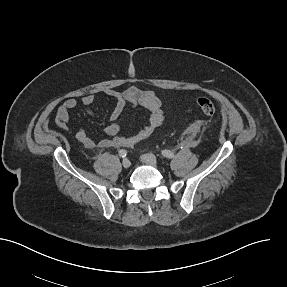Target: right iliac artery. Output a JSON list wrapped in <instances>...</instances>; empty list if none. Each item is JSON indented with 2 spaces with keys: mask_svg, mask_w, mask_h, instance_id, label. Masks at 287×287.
<instances>
[{
  "mask_svg": "<svg viewBox=\"0 0 287 287\" xmlns=\"http://www.w3.org/2000/svg\"><path fill=\"white\" fill-rule=\"evenodd\" d=\"M126 155H127V151L125 149H121L119 151V156L120 157L124 158V157H126Z\"/></svg>",
  "mask_w": 287,
  "mask_h": 287,
  "instance_id": "obj_1",
  "label": "right iliac artery"
}]
</instances>
